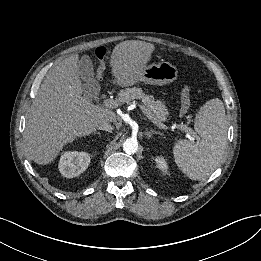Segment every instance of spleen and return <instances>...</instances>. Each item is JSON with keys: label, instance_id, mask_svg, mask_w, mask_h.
I'll use <instances>...</instances> for the list:
<instances>
[{"label": "spleen", "instance_id": "3e777b00", "mask_svg": "<svg viewBox=\"0 0 261 261\" xmlns=\"http://www.w3.org/2000/svg\"><path fill=\"white\" fill-rule=\"evenodd\" d=\"M198 142L179 140L173 147L176 165L192 180H205L219 166L227 144V121L223 102L207 101L195 117Z\"/></svg>", "mask_w": 261, "mask_h": 261}]
</instances>
